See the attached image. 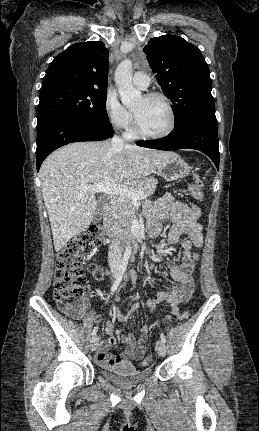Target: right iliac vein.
I'll return each mask as SVG.
<instances>
[{
	"label": "right iliac vein",
	"mask_w": 259,
	"mask_h": 431,
	"mask_svg": "<svg viewBox=\"0 0 259 431\" xmlns=\"http://www.w3.org/2000/svg\"><path fill=\"white\" fill-rule=\"evenodd\" d=\"M114 277H116V273L114 274ZM99 338L98 336H94L90 341V348L92 351H95L98 347Z\"/></svg>",
	"instance_id": "1"
}]
</instances>
